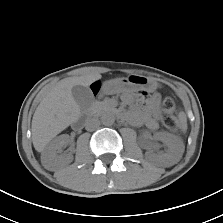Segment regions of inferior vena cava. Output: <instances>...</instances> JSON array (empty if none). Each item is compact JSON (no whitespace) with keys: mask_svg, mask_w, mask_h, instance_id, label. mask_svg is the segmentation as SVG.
Masks as SVG:
<instances>
[{"mask_svg":"<svg viewBox=\"0 0 223 223\" xmlns=\"http://www.w3.org/2000/svg\"><path fill=\"white\" fill-rule=\"evenodd\" d=\"M100 126V121L98 118H90L85 123V128L88 131H94Z\"/></svg>","mask_w":223,"mask_h":223,"instance_id":"1","label":"inferior vena cava"}]
</instances>
